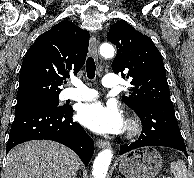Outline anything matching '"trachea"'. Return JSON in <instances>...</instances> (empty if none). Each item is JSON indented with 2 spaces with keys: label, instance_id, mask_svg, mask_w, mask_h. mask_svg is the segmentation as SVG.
<instances>
[{
  "label": "trachea",
  "instance_id": "trachea-1",
  "mask_svg": "<svg viewBox=\"0 0 194 178\" xmlns=\"http://www.w3.org/2000/svg\"><path fill=\"white\" fill-rule=\"evenodd\" d=\"M95 71H96V66H95L94 59L92 57H88L86 61V72H87L88 79L92 80L95 78Z\"/></svg>",
  "mask_w": 194,
  "mask_h": 178
}]
</instances>
